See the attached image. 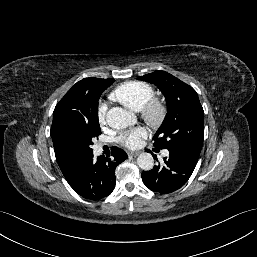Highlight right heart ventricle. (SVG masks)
<instances>
[{"label": "right heart ventricle", "instance_id": "obj_1", "mask_svg": "<svg viewBox=\"0 0 257 257\" xmlns=\"http://www.w3.org/2000/svg\"><path fill=\"white\" fill-rule=\"evenodd\" d=\"M154 96L153 87L143 81H129L116 87L110 98L127 108L139 111Z\"/></svg>", "mask_w": 257, "mask_h": 257}]
</instances>
